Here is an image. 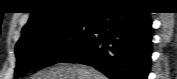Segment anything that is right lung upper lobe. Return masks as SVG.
I'll return each instance as SVG.
<instances>
[{"label": "right lung upper lobe", "mask_w": 177, "mask_h": 79, "mask_svg": "<svg viewBox=\"0 0 177 79\" xmlns=\"http://www.w3.org/2000/svg\"><path fill=\"white\" fill-rule=\"evenodd\" d=\"M118 2L132 1L97 0H39L34 3L28 23L22 29V37L35 30L72 21H94L104 9Z\"/></svg>", "instance_id": "1"}]
</instances>
